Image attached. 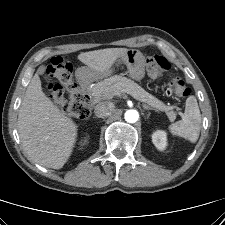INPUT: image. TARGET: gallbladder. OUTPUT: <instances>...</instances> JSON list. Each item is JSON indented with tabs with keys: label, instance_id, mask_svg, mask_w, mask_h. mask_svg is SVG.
I'll list each match as a JSON object with an SVG mask.
<instances>
[{
	"label": "gallbladder",
	"instance_id": "1",
	"mask_svg": "<svg viewBox=\"0 0 225 225\" xmlns=\"http://www.w3.org/2000/svg\"><path fill=\"white\" fill-rule=\"evenodd\" d=\"M38 73H39L40 75H43L44 78H45L46 80H48V76L45 75V67H43V66L39 67Z\"/></svg>",
	"mask_w": 225,
	"mask_h": 225
}]
</instances>
